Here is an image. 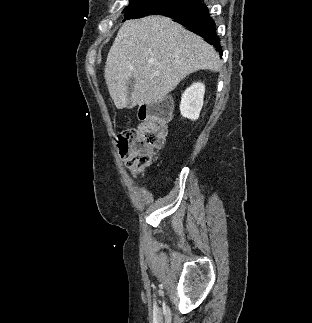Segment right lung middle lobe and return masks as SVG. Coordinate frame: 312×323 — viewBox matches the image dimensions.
<instances>
[{
	"instance_id": "obj_1",
	"label": "right lung middle lobe",
	"mask_w": 312,
	"mask_h": 323,
	"mask_svg": "<svg viewBox=\"0 0 312 323\" xmlns=\"http://www.w3.org/2000/svg\"><path fill=\"white\" fill-rule=\"evenodd\" d=\"M193 0H129V5L123 10L125 20L141 18L150 14H164L184 7Z\"/></svg>"
}]
</instances>
